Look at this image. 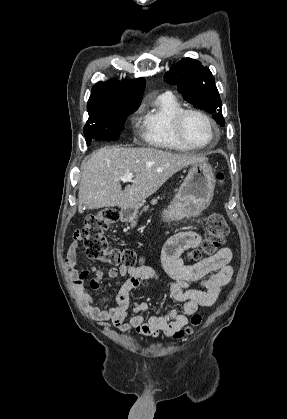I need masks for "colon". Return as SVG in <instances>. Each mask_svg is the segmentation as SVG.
Here are the masks:
<instances>
[{"instance_id": "5ec220e1", "label": "colon", "mask_w": 287, "mask_h": 419, "mask_svg": "<svg viewBox=\"0 0 287 419\" xmlns=\"http://www.w3.org/2000/svg\"><path fill=\"white\" fill-rule=\"evenodd\" d=\"M222 173L218 178L222 179ZM118 212L113 208H104L86 218L85 227L79 232L78 242H82L88 257L105 261L113 265L134 267L137 262L136 254L130 249H121L110 245L106 234L117 224ZM206 238L201 249L194 250L189 257L199 261L210 257L221 250L229 234V227L220 213H212L206 222ZM202 322V314L196 313L191 318V323L184 330L174 334L175 339H183L193 333L194 329Z\"/></svg>"}]
</instances>
